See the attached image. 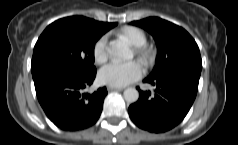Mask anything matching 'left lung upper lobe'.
Segmentation results:
<instances>
[{
	"label": "left lung upper lobe",
	"mask_w": 238,
	"mask_h": 145,
	"mask_svg": "<svg viewBox=\"0 0 238 145\" xmlns=\"http://www.w3.org/2000/svg\"><path fill=\"white\" fill-rule=\"evenodd\" d=\"M131 24L146 29L155 39L158 56L149 78L202 69L199 48L183 28L157 17L133 21Z\"/></svg>",
	"instance_id": "left-lung-upper-lobe-1"
}]
</instances>
